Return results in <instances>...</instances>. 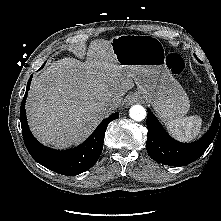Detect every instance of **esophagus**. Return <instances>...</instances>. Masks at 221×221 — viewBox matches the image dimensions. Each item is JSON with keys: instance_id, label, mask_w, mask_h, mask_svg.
<instances>
[{"instance_id": "34e87169", "label": "esophagus", "mask_w": 221, "mask_h": 221, "mask_svg": "<svg viewBox=\"0 0 221 221\" xmlns=\"http://www.w3.org/2000/svg\"><path fill=\"white\" fill-rule=\"evenodd\" d=\"M138 101H140V97L137 95H132V96L128 97V99L126 100V104L131 105V104L138 102Z\"/></svg>"}]
</instances>
